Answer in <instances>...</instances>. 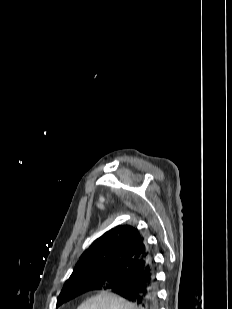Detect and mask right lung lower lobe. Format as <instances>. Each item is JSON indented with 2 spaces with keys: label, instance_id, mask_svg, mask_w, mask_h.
Returning <instances> with one entry per match:
<instances>
[{
  "label": "right lung lower lobe",
  "instance_id": "98d812e1",
  "mask_svg": "<svg viewBox=\"0 0 232 309\" xmlns=\"http://www.w3.org/2000/svg\"><path fill=\"white\" fill-rule=\"evenodd\" d=\"M129 264L123 274L127 276L124 283L106 281L102 286L93 289H110L112 292L135 303L139 309H157L156 278L152 257L144 261L141 267ZM88 290V291H89Z\"/></svg>",
  "mask_w": 232,
  "mask_h": 309
}]
</instances>
